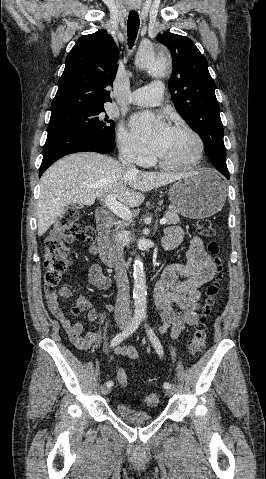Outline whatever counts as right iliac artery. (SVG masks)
Returning a JSON list of instances; mask_svg holds the SVG:
<instances>
[{
  "label": "right iliac artery",
  "mask_w": 266,
  "mask_h": 479,
  "mask_svg": "<svg viewBox=\"0 0 266 479\" xmlns=\"http://www.w3.org/2000/svg\"><path fill=\"white\" fill-rule=\"evenodd\" d=\"M142 320V316L139 314H135L129 323V326L122 332L118 333L111 341V347H115L116 345L120 344L124 339L128 336L132 335L136 329L139 327ZM106 385L108 387L113 386L112 381H107Z\"/></svg>",
  "instance_id": "obj_1"
}]
</instances>
